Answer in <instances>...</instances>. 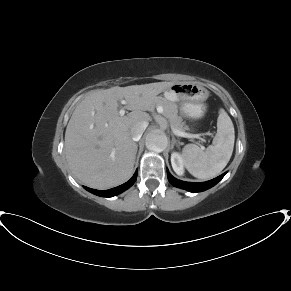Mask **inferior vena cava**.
<instances>
[{
	"instance_id": "602c4592",
	"label": "inferior vena cava",
	"mask_w": 291,
	"mask_h": 291,
	"mask_svg": "<svg viewBox=\"0 0 291 291\" xmlns=\"http://www.w3.org/2000/svg\"><path fill=\"white\" fill-rule=\"evenodd\" d=\"M148 126L147 122H139L134 124L130 128V133L132 136L133 141H139L143 132L145 131L146 127Z\"/></svg>"
}]
</instances>
